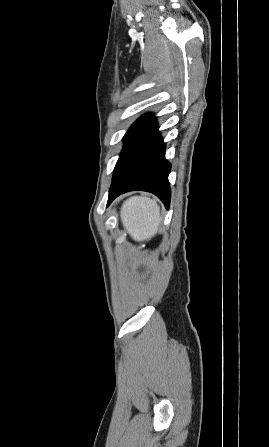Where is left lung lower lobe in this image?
Listing matches in <instances>:
<instances>
[{
  "label": "left lung lower lobe",
  "mask_w": 269,
  "mask_h": 447,
  "mask_svg": "<svg viewBox=\"0 0 269 447\" xmlns=\"http://www.w3.org/2000/svg\"><path fill=\"white\" fill-rule=\"evenodd\" d=\"M164 154L165 145L156 127L135 147L113 178L108 205L122 193L143 190L157 195L168 209L171 165Z\"/></svg>",
  "instance_id": "0a47b994"
}]
</instances>
